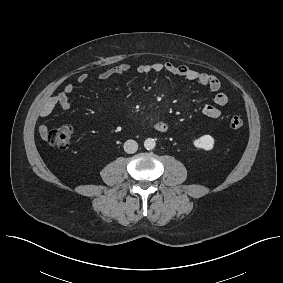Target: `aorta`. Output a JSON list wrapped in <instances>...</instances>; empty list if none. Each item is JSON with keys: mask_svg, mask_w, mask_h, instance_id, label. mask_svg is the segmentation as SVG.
<instances>
[{"mask_svg": "<svg viewBox=\"0 0 283 283\" xmlns=\"http://www.w3.org/2000/svg\"><path fill=\"white\" fill-rule=\"evenodd\" d=\"M156 146V143H155V140L154 139H151V138H148L144 141V147L147 149V150H152L154 149Z\"/></svg>", "mask_w": 283, "mask_h": 283, "instance_id": "762f6f07", "label": "aorta"}]
</instances>
